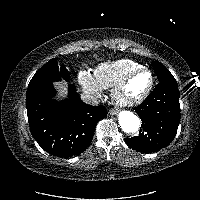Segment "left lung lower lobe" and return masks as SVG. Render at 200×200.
<instances>
[{
    "label": "left lung lower lobe",
    "instance_id": "1",
    "mask_svg": "<svg viewBox=\"0 0 200 200\" xmlns=\"http://www.w3.org/2000/svg\"><path fill=\"white\" fill-rule=\"evenodd\" d=\"M142 120L138 136L126 143L139 152H154L168 146L180 122L179 92L176 82H159L146 100L134 108Z\"/></svg>",
    "mask_w": 200,
    "mask_h": 200
}]
</instances>
